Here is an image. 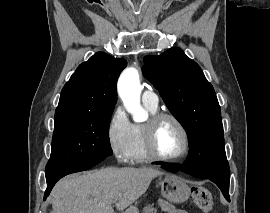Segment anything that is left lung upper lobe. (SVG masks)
Listing matches in <instances>:
<instances>
[{"instance_id": "5c2ea615", "label": "left lung upper lobe", "mask_w": 270, "mask_h": 213, "mask_svg": "<svg viewBox=\"0 0 270 213\" xmlns=\"http://www.w3.org/2000/svg\"><path fill=\"white\" fill-rule=\"evenodd\" d=\"M143 75L189 133V155L203 178L229 181L221 110L199 65L179 48L144 58Z\"/></svg>"}]
</instances>
